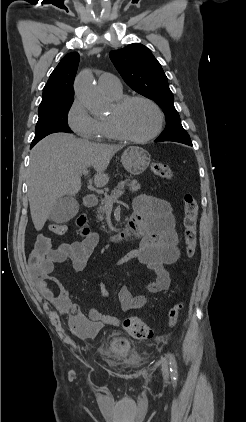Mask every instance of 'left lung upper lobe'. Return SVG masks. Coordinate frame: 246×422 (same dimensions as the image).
<instances>
[{"mask_svg":"<svg viewBox=\"0 0 246 422\" xmlns=\"http://www.w3.org/2000/svg\"><path fill=\"white\" fill-rule=\"evenodd\" d=\"M109 56L130 88L155 101L162 108L166 116V128L156 141H191L174 107L167 77L151 51L142 44L133 43L111 51Z\"/></svg>","mask_w":246,"mask_h":422,"instance_id":"obj_1","label":"left lung upper lobe"}]
</instances>
